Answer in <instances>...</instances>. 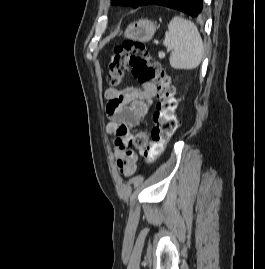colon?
Instances as JSON below:
<instances>
[{
    "mask_svg": "<svg viewBox=\"0 0 265 269\" xmlns=\"http://www.w3.org/2000/svg\"><path fill=\"white\" fill-rule=\"evenodd\" d=\"M129 71L139 81L153 83L156 86L154 126L151 140L144 150V158L152 162L164 151L177 128L175 87L166 70L149 54L141 42L127 40L114 48L108 63L109 85L111 87L121 85ZM118 133L125 134L126 131L120 129Z\"/></svg>",
    "mask_w": 265,
    "mask_h": 269,
    "instance_id": "colon-1",
    "label": "colon"
}]
</instances>
